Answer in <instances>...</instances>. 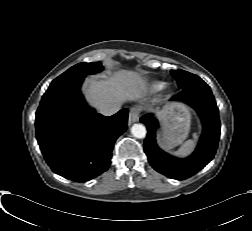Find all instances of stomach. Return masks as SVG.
I'll list each match as a JSON object with an SVG mask.
<instances>
[{
    "mask_svg": "<svg viewBox=\"0 0 252 231\" xmlns=\"http://www.w3.org/2000/svg\"><path fill=\"white\" fill-rule=\"evenodd\" d=\"M163 125L162 144L171 149L181 144L188 136L191 116L187 108L172 104L160 116Z\"/></svg>",
    "mask_w": 252,
    "mask_h": 231,
    "instance_id": "1",
    "label": "stomach"
}]
</instances>
